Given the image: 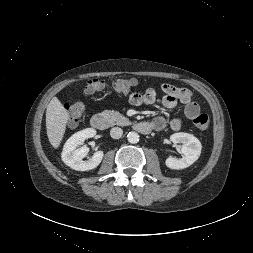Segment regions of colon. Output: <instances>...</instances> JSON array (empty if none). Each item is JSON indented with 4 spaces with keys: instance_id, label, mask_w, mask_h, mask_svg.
<instances>
[{
    "instance_id": "1",
    "label": "colon",
    "mask_w": 253,
    "mask_h": 253,
    "mask_svg": "<svg viewBox=\"0 0 253 253\" xmlns=\"http://www.w3.org/2000/svg\"><path fill=\"white\" fill-rule=\"evenodd\" d=\"M136 85V80L133 78L128 79H118L114 81L111 85L112 89L118 93H127ZM106 88L105 81L98 78H91L87 81L85 92L87 94H93L102 91ZM65 109L68 112L69 123L75 125L82 115L84 114L85 107L81 102H74L71 104H66ZM194 125L199 130H206L209 127V117L207 114L197 115L194 120Z\"/></svg>"
}]
</instances>
